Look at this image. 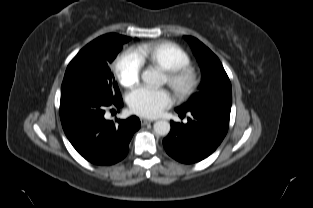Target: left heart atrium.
<instances>
[{
	"label": "left heart atrium",
	"instance_id": "obj_1",
	"mask_svg": "<svg viewBox=\"0 0 313 208\" xmlns=\"http://www.w3.org/2000/svg\"><path fill=\"white\" fill-rule=\"evenodd\" d=\"M128 105L137 115L156 117L172 103L170 93L165 89L139 87L128 95Z\"/></svg>",
	"mask_w": 313,
	"mask_h": 208
}]
</instances>
